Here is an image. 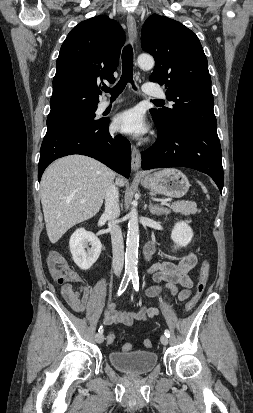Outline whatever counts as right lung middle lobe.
Listing matches in <instances>:
<instances>
[{"label": "right lung middle lobe", "instance_id": "obj_1", "mask_svg": "<svg viewBox=\"0 0 253 413\" xmlns=\"http://www.w3.org/2000/svg\"><path fill=\"white\" fill-rule=\"evenodd\" d=\"M95 108L71 111L55 116H48L47 132H52L72 127H90L101 123L102 120H95Z\"/></svg>", "mask_w": 253, "mask_h": 413}]
</instances>
